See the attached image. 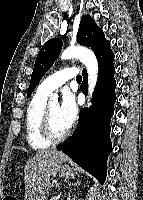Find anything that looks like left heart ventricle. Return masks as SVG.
Instances as JSON below:
<instances>
[{"instance_id": "1", "label": "left heart ventricle", "mask_w": 143, "mask_h": 200, "mask_svg": "<svg viewBox=\"0 0 143 200\" xmlns=\"http://www.w3.org/2000/svg\"><path fill=\"white\" fill-rule=\"evenodd\" d=\"M51 128L56 135L63 134L67 129V125L62 120L59 113V105L53 104L49 106Z\"/></svg>"}]
</instances>
